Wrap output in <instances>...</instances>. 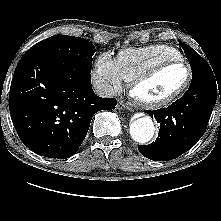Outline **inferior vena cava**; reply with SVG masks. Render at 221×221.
<instances>
[{"mask_svg": "<svg viewBox=\"0 0 221 221\" xmlns=\"http://www.w3.org/2000/svg\"><path fill=\"white\" fill-rule=\"evenodd\" d=\"M93 87L95 93L100 97L109 98L115 95L113 87L106 81H95Z\"/></svg>", "mask_w": 221, "mask_h": 221, "instance_id": "602c4592", "label": "inferior vena cava"}]
</instances>
